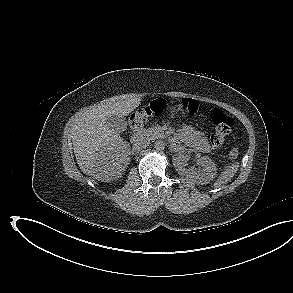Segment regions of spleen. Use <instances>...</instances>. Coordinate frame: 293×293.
Returning a JSON list of instances; mask_svg holds the SVG:
<instances>
[{
  "label": "spleen",
  "instance_id": "obj_1",
  "mask_svg": "<svg viewBox=\"0 0 293 293\" xmlns=\"http://www.w3.org/2000/svg\"><path fill=\"white\" fill-rule=\"evenodd\" d=\"M238 168H239L238 162L227 165L224 171L221 172L220 176L214 183V187H220L223 184H226L227 182H229L238 171Z\"/></svg>",
  "mask_w": 293,
  "mask_h": 293
}]
</instances>
